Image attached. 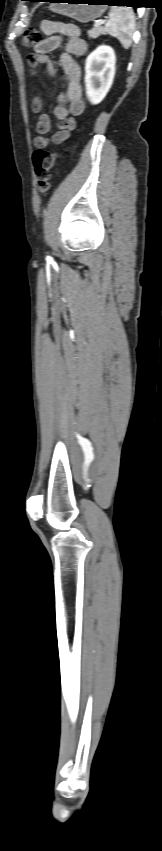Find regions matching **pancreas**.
Listing matches in <instances>:
<instances>
[{"mask_svg":"<svg viewBox=\"0 0 162 851\" xmlns=\"http://www.w3.org/2000/svg\"><path fill=\"white\" fill-rule=\"evenodd\" d=\"M106 34L105 29L103 27H94L88 31V36L92 39L98 38L100 35Z\"/></svg>","mask_w":162,"mask_h":851,"instance_id":"cf45deb5","label":"pancreas"}]
</instances>
